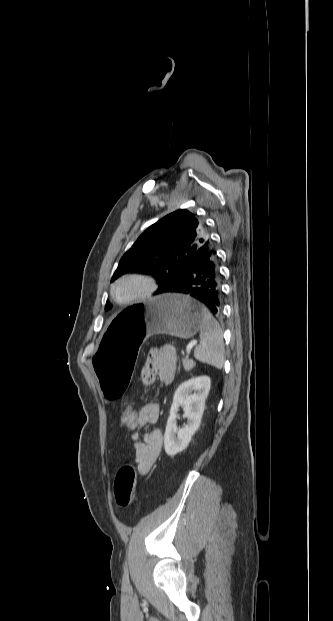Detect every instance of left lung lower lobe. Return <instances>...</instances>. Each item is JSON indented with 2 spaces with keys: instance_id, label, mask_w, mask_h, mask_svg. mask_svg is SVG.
I'll return each mask as SVG.
<instances>
[{
  "instance_id": "left-lung-lower-lobe-1",
  "label": "left lung lower lobe",
  "mask_w": 333,
  "mask_h": 621,
  "mask_svg": "<svg viewBox=\"0 0 333 621\" xmlns=\"http://www.w3.org/2000/svg\"><path fill=\"white\" fill-rule=\"evenodd\" d=\"M188 294L216 315L221 314L220 275L212 244L205 243L187 262L184 271L160 293Z\"/></svg>"
}]
</instances>
